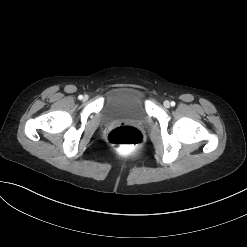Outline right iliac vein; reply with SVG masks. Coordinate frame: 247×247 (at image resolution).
<instances>
[{
	"instance_id": "63e3f726",
	"label": "right iliac vein",
	"mask_w": 247,
	"mask_h": 247,
	"mask_svg": "<svg viewBox=\"0 0 247 247\" xmlns=\"http://www.w3.org/2000/svg\"><path fill=\"white\" fill-rule=\"evenodd\" d=\"M87 100H88V96L85 95V96L83 97V101H87Z\"/></svg>"
}]
</instances>
